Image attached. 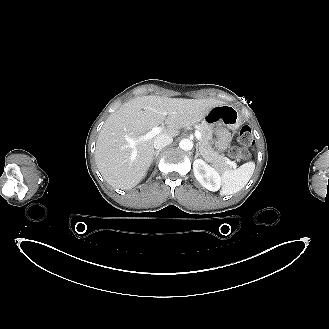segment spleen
<instances>
[{
  "instance_id": "3e777b00",
  "label": "spleen",
  "mask_w": 329,
  "mask_h": 329,
  "mask_svg": "<svg viewBox=\"0 0 329 329\" xmlns=\"http://www.w3.org/2000/svg\"><path fill=\"white\" fill-rule=\"evenodd\" d=\"M254 170V162H247L235 170H224L222 173L221 195L234 194L243 189L252 177Z\"/></svg>"
}]
</instances>
